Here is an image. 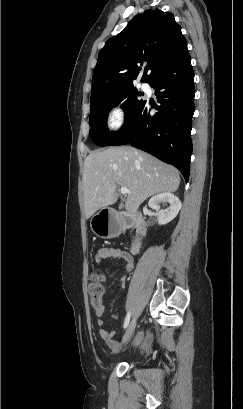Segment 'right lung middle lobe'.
I'll use <instances>...</instances> for the list:
<instances>
[{
  "label": "right lung middle lobe",
  "instance_id": "1",
  "mask_svg": "<svg viewBox=\"0 0 243 409\" xmlns=\"http://www.w3.org/2000/svg\"><path fill=\"white\" fill-rule=\"evenodd\" d=\"M136 92V88L130 86L91 102L89 116L90 136L96 145L108 146L120 131H108L107 117L113 107L122 103L121 107L125 112V124L129 122L135 111L143 102L142 99H139L140 94Z\"/></svg>",
  "mask_w": 243,
  "mask_h": 409
}]
</instances>
